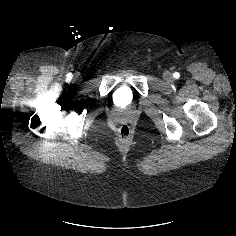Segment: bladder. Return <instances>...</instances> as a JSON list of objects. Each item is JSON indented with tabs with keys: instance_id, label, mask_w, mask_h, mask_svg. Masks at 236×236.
I'll return each mask as SVG.
<instances>
[{
	"instance_id": "1",
	"label": "bladder",
	"mask_w": 236,
	"mask_h": 236,
	"mask_svg": "<svg viewBox=\"0 0 236 236\" xmlns=\"http://www.w3.org/2000/svg\"><path fill=\"white\" fill-rule=\"evenodd\" d=\"M131 98L123 90H119L115 96V104L118 108L124 110L130 105Z\"/></svg>"
}]
</instances>
